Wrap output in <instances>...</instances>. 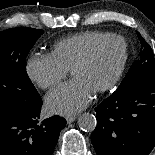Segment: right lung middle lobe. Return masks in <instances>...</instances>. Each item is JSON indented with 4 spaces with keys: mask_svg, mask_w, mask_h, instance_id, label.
I'll list each match as a JSON object with an SVG mask.
<instances>
[{
    "mask_svg": "<svg viewBox=\"0 0 155 155\" xmlns=\"http://www.w3.org/2000/svg\"><path fill=\"white\" fill-rule=\"evenodd\" d=\"M44 33L34 28L0 32V111H29L40 96L26 73V56Z\"/></svg>",
    "mask_w": 155,
    "mask_h": 155,
    "instance_id": "obj_1",
    "label": "right lung middle lobe"
}]
</instances>
